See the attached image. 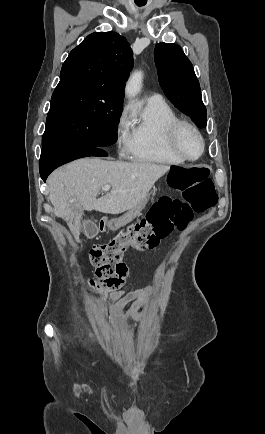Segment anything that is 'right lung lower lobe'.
<instances>
[{
  "instance_id": "right-lung-lower-lobe-1",
  "label": "right lung lower lobe",
  "mask_w": 265,
  "mask_h": 434,
  "mask_svg": "<svg viewBox=\"0 0 265 434\" xmlns=\"http://www.w3.org/2000/svg\"><path fill=\"white\" fill-rule=\"evenodd\" d=\"M89 156H107L99 147L65 148L48 147L42 149L40 157V175L44 182L48 175L57 167L72 160Z\"/></svg>"
}]
</instances>
